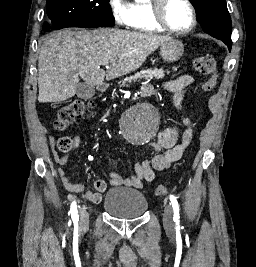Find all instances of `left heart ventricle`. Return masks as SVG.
I'll use <instances>...</instances> for the list:
<instances>
[{
	"instance_id": "obj_1",
	"label": "left heart ventricle",
	"mask_w": 256,
	"mask_h": 267,
	"mask_svg": "<svg viewBox=\"0 0 256 267\" xmlns=\"http://www.w3.org/2000/svg\"><path fill=\"white\" fill-rule=\"evenodd\" d=\"M164 17L168 24L176 30L183 31L191 26L192 16L190 9L186 4L178 0H170L166 3ZM144 28L148 30L149 26L144 23Z\"/></svg>"
}]
</instances>
